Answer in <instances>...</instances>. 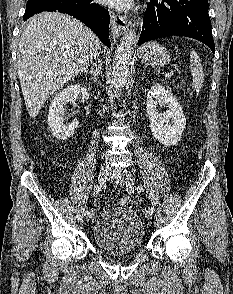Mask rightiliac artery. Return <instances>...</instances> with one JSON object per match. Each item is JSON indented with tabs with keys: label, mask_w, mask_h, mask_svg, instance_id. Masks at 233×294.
<instances>
[{
	"label": "right iliac artery",
	"mask_w": 233,
	"mask_h": 294,
	"mask_svg": "<svg viewBox=\"0 0 233 294\" xmlns=\"http://www.w3.org/2000/svg\"><path fill=\"white\" fill-rule=\"evenodd\" d=\"M101 189H102V184H100V185H96V186L94 187V191L97 192V193H98L99 191H101ZM90 212H91V211H88V210L85 211V216H88V215L90 214Z\"/></svg>",
	"instance_id": "82829eb1"
}]
</instances>
